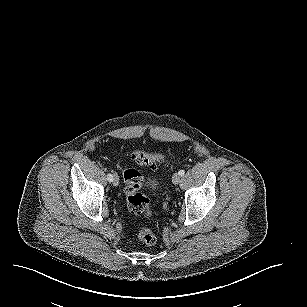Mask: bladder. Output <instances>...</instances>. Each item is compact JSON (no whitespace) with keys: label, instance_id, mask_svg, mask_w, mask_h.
Masks as SVG:
<instances>
[{"label":"bladder","instance_id":"bladder-1","mask_svg":"<svg viewBox=\"0 0 307 307\" xmlns=\"http://www.w3.org/2000/svg\"><path fill=\"white\" fill-rule=\"evenodd\" d=\"M148 186L150 188H153V187L157 186V182L156 181H150V182H148Z\"/></svg>","mask_w":307,"mask_h":307}]
</instances>
